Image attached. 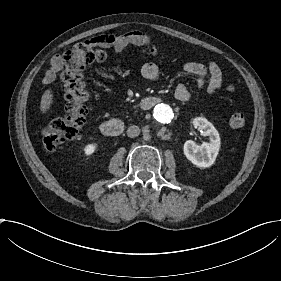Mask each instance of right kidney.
<instances>
[{"label": "right kidney", "mask_w": 281, "mask_h": 281, "mask_svg": "<svg viewBox=\"0 0 281 281\" xmlns=\"http://www.w3.org/2000/svg\"><path fill=\"white\" fill-rule=\"evenodd\" d=\"M97 145L95 143H88L83 147V154L86 157H89L95 153Z\"/></svg>", "instance_id": "ca27d5eb"}]
</instances>
